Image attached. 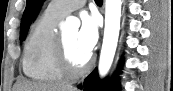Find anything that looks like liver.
<instances>
[{"mask_svg": "<svg viewBox=\"0 0 173 91\" xmlns=\"http://www.w3.org/2000/svg\"><path fill=\"white\" fill-rule=\"evenodd\" d=\"M13 91H77L70 85L35 83L27 80H18Z\"/></svg>", "mask_w": 173, "mask_h": 91, "instance_id": "obj_1", "label": "liver"}]
</instances>
